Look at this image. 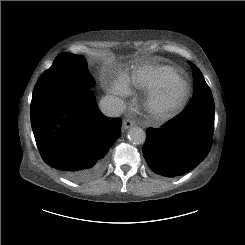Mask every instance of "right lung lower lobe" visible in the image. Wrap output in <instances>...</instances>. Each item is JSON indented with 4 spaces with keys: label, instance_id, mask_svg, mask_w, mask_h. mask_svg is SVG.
I'll use <instances>...</instances> for the list:
<instances>
[{
    "label": "right lung lower lobe",
    "instance_id": "obj_1",
    "mask_svg": "<svg viewBox=\"0 0 245 245\" xmlns=\"http://www.w3.org/2000/svg\"><path fill=\"white\" fill-rule=\"evenodd\" d=\"M65 103L71 111L60 120L59 110ZM30 108L32 130L46 164L77 182L92 180L104 171L122 120L103 115L88 88L56 93Z\"/></svg>",
    "mask_w": 245,
    "mask_h": 245
}]
</instances>
